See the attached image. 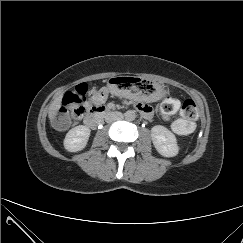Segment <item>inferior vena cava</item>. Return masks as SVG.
<instances>
[{"mask_svg":"<svg viewBox=\"0 0 243 243\" xmlns=\"http://www.w3.org/2000/svg\"><path fill=\"white\" fill-rule=\"evenodd\" d=\"M123 118V114L121 112H109L105 116V121L107 123H112L117 120H121Z\"/></svg>","mask_w":243,"mask_h":243,"instance_id":"inferior-vena-cava-1","label":"inferior vena cava"}]
</instances>
